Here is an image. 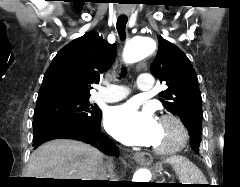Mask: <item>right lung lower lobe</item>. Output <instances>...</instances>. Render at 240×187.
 <instances>
[{
  "label": "right lung lower lobe",
  "mask_w": 240,
  "mask_h": 187,
  "mask_svg": "<svg viewBox=\"0 0 240 187\" xmlns=\"http://www.w3.org/2000/svg\"><path fill=\"white\" fill-rule=\"evenodd\" d=\"M100 110V109H99ZM101 110L99 115L89 123H74L72 121L53 117L34 125L33 146L36 149L42 143L53 139H75L97 147L104 153L118 157V147L100 132ZM97 186L110 187V184Z\"/></svg>",
  "instance_id": "1"
}]
</instances>
